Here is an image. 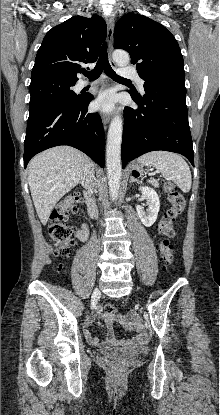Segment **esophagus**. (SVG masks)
<instances>
[{
  "label": "esophagus",
  "mask_w": 220,
  "mask_h": 415,
  "mask_svg": "<svg viewBox=\"0 0 220 415\" xmlns=\"http://www.w3.org/2000/svg\"><path fill=\"white\" fill-rule=\"evenodd\" d=\"M113 33H114V18L112 16H108L107 18V41H108V51L109 55H111L113 49ZM112 65H114L113 61L110 59ZM110 121V116L108 114L102 115V122L106 127Z\"/></svg>",
  "instance_id": "esophagus-1"
}]
</instances>
